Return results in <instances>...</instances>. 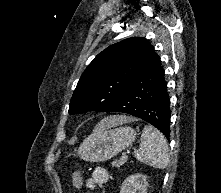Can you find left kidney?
<instances>
[{
	"label": "left kidney",
	"mask_w": 221,
	"mask_h": 193,
	"mask_svg": "<svg viewBox=\"0 0 221 193\" xmlns=\"http://www.w3.org/2000/svg\"><path fill=\"white\" fill-rule=\"evenodd\" d=\"M147 187V177L142 174H134L123 181L120 193H147Z\"/></svg>",
	"instance_id": "obj_1"
}]
</instances>
